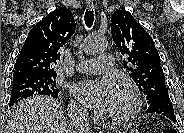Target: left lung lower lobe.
Wrapping results in <instances>:
<instances>
[{"mask_svg":"<svg viewBox=\"0 0 184 133\" xmlns=\"http://www.w3.org/2000/svg\"><path fill=\"white\" fill-rule=\"evenodd\" d=\"M147 113H157L166 116L173 122H176L174 109L169 99H161L149 104Z\"/></svg>","mask_w":184,"mask_h":133,"instance_id":"obj_1","label":"left lung lower lobe"}]
</instances>
